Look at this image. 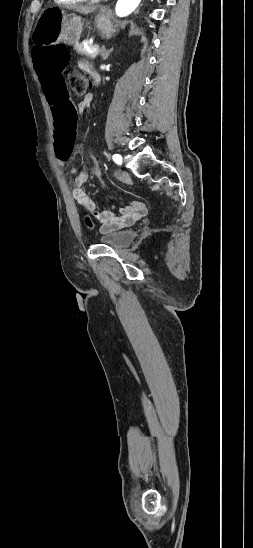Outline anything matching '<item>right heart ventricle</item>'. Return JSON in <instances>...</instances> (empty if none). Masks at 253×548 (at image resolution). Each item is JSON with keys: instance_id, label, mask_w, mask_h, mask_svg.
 <instances>
[{"instance_id": "obj_1", "label": "right heart ventricle", "mask_w": 253, "mask_h": 548, "mask_svg": "<svg viewBox=\"0 0 253 548\" xmlns=\"http://www.w3.org/2000/svg\"><path fill=\"white\" fill-rule=\"evenodd\" d=\"M85 0H54V2L58 5H65V6H68V5H75V4H78V3H81Z\"/></svg>"}]
</instances>
